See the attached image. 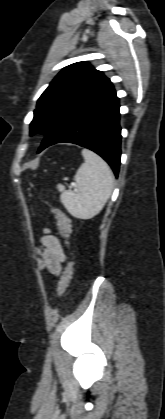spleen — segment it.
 <instances>
[{"instance_id": "spleen-1", "label": "spleen", "mask_w": 165, "mask_h": 419, "mask_svg": "<svg viewBox=\"0 0 165 419\" xmlns=\"http://www.w3.org/2000/svg\"><path fill=\"white\" fill-rule=\"evenodd\" d=\"M82 156L84 163L74 176L76 190H66L62 184H58L57 189L67 211L75 218L86 220L99 214L105 206L112 193L114 177L108 164L96 153L83 149Z\"/></svg>"}]
</instances>
